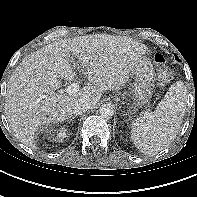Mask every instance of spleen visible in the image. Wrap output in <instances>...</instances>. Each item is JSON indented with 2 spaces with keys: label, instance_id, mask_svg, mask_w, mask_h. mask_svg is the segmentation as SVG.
I'll return each instance as SVG.
<instances>
[{
  "label": "spleen",
  "instance_id": "3e777b00",
  "mask_svg": "<svg viewBox=\"0 0 197 197\" xmlns=\"http://www.w3.org/2000/svg\"><path fill=\"white\" fill-rule=\"evenodd\" d=\"M187 89L183 82L172 84L156 110L136 119L131 126V139L144 154H154L175 138L186 110Z\"/></svg>",
  "mask_w": 197,
  "mask_h": 197
}]
</instances>
